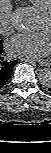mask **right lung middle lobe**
<instances>
[{
  "instance_id": "obj_1",
  "label": "right lung middle lobe",
  "mask_w": 51,
  "mask_h": 153,
  "mask_svg": "<svg viewBox=\"0 0 51 153\" xmlns=\"http://www.w3.org/2000/svg\"><path fill=\"white\" fill-rule=\"evenodd\" d=\"M2 47V45H1V41H0V48Z\"/></svg>"
}]
</instances>
